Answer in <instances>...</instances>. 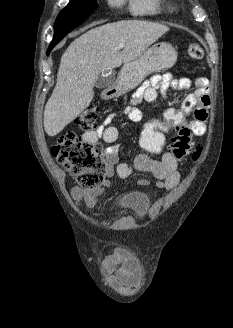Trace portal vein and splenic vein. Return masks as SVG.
<instances>
[{"instance_id":"18ae733b","label":"portal vein and splenic vein","mask_w":233,"mask_h":328,"mask_svg":"<svg viewBox=\"0 0 233 328\" xmlns=\"http://www.w3.org/2000/svg\"><path fill=\"white\" fill-rule=\"evenodd\" d=\"M124 46H125L124 43H121V44L118 45V48L122 49Z\"/></svg>"}]
</instances>
